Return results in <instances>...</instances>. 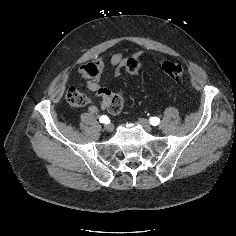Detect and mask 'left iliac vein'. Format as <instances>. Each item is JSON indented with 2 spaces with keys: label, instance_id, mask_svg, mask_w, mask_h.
Listing matches in <instances>:
<instances>
[{
  "label": "left iliac vein",
  "instance_id": "left-iliac-vein-1",
  "mask_svg": "<svg viewBox=\"0 0 236 236\" xmlns=\"http://www.w3.org/2000/svg\"><path fill=\"white\" fill-rule=\"evenodd\" d=\"M138 122L144 127V129L147 131V132H151L152 131V126L151 124L149 123V121H147L146 119H139Z\"/></svg>",
  "mask_w": 236,
  "mask_h": 236
}]
</instances>
